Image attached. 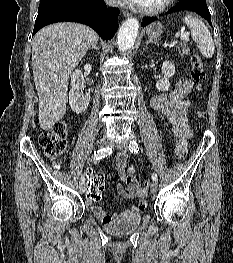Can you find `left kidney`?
<instances>
[{"mask_svg": "<svg viewBox=\"0 0 233 263\" xmlns=\"http://www.w3.org/2000/svg\"><path fill=\"white\" fill-rule=\"evenodd\" d=\"M161 69L164 74V78L157 81L156 88L159 91H167L170 87L169 78L175 74V65L171 61H165L163 62Z\"/></svg>", "mask_w": 233, "mask_h": 263, "instance_id": "obj_1", "label": "left kidney"}]
</instances>
